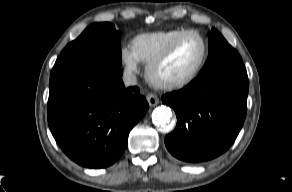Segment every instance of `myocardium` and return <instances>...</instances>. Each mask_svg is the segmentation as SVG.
I'll return each mask as SVG.
<instances>
[{
    "mask_svg": "<svg viewBox=\"0 0 292 192\" xmlns=\"http://www.w3.org/2000/svg\"><path fill=\"white\" fill-rule=\"evenodd\" d=\"M189 35L198 36L203 44V54L197 66L191 73H189L187 76L183 78L171 81H164L159 79L156 76L157 69L171 56V54L174 52L178 44ZM208 57L209 43L205 36L197 30H186L180 35H178L176 38H174L157 57H155L149 64H147L146 77L152 85L159 89L163 90L180 89L192 83L200 75L208 61Z\"/></svg>",
    "mask_w": 292,
    "mask_h": 192,
    "instance_id": "f54148a6",
    "label": "myocardium"
}]
</instances>
